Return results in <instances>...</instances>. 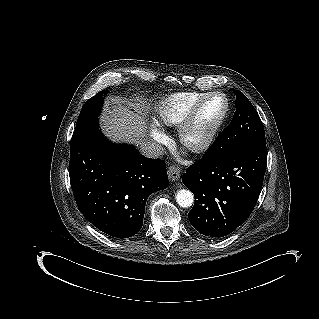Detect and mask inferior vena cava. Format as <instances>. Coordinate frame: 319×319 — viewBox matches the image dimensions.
I'll return each instance as SVG.
<instances>
[{"instance_id":"1","label":"inferior vena cava","mask_w":319,"mask_h":319,"mask_svg":"<svg viewBox=\"0 0 319 319\" xmlns=\"http://www.w3.org/2000/svg\"><path fill=\"white\" fill-rule=\"evenodd\" d=\"M141 153L148 158H158L164 154V148L155 142H144L140 145Z\"/></svg>"}]
</instances>
